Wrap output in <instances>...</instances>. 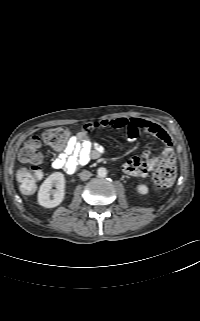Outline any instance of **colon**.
Listing matches in <instances>:
<instances>
[{"label": "colon", "instance_id": "colon-1", "mask_svg": "<svg viewBox=\"0 0 200 321\" xmlns=\"http://www.w3.org/2000/svg\"><path fill=\"white\" fill-rule=\"evenodd\" d=\"M70 131L66 127L48 129L43 134L44 142L50 147L61 150L67 144ZM40 139L36 135L29 136L22 145L19 158L31 166L22 167L17 171V180L24 193H32L42 177L38 166L41 160ZM177 169L173 152H167L158 158V166L153 173L154 186L157 189L170 187L176 179Z\"/></svg>", "mask_w": 200, "mask_h": 321}]
</instances>
